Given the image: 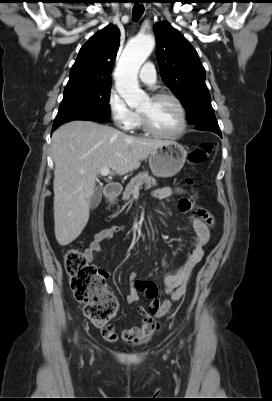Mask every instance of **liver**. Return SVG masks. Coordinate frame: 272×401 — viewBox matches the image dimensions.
Wrapping results in <instances>:
<instances>
[{
  "label": "liver",
  "mask_w": 272,
  "mask_h": 401,
  "mask_svg": "<svg viewBox=\"0 0 272 401\" xmlns=\"http://www.w3.org/2000/svg\"><path fill=\"white\" fill-rule=\"evenodd\" d=\"M166 140L125 133L92 121L75 120L52 135L55 236L61 246L73 242L89 219V202L100 170L119 175L136 170Z\"/></svg>",
  "instance_id": "6515ba94"
}]
</instances>
